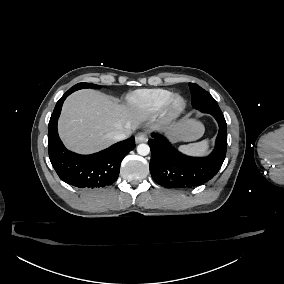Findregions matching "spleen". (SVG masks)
Segmentation results:
<instances>
[{"label": "spleen", "instance_id": "obj_1", "mask_svg": "<svg viewBox=\"0 0 284 284\" xmlns=\"http://www.w3.org/2000/svg\"><path fill=\"white\" fill-rule=\"evenodd\" d=\"M209 140L205 139L201 142L191 143L188 145H181L179 150L187 155L203 156L208 153Z\"/></svg>", "mask_w": 284, "mask_h": 284}]
</instances>
